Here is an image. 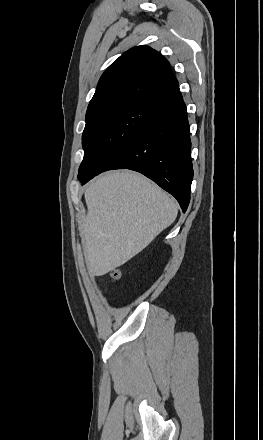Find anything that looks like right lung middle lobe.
<instances>
[{
  "instance_id": "dd1d6c3e",
  "label": "right lung middle lobe",
  "mask_w": 263,
  "mask_h": 440,
  "mask_svg": "<svg viewBox=\"0 0 263 440\" xmlns=\"http://www.w3.org/2000/svg\"><path fill=\"white\" fill-rule=\"evenodd\" d=\"M155 105L130 104L102 111L86 119L82 135L84 158L78 179H91L103 172L114 154L143 127Z\"/></svg>"
}]
</instances>
